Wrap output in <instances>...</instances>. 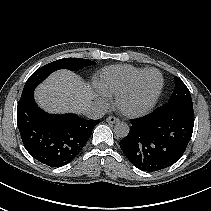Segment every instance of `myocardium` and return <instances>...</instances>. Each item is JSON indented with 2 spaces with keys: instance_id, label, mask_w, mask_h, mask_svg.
Wrapping results in <instances>:
<instances>
[{
  "instance_id": "myocardium-1",
  "label": "myocardium",
  "mask_w": 211,
  "mask_h": 211,
  "mask_svg": "<svg viewBox=\"0 0 211 211\" xmlns=\"http://www.w3.org/2000/svg\"><path fill=\"white\" fill-rule=\"evenodd\" d=\"M151 72H156L157 74H159V76L161 78V84H160V87H159L157 93L154 95V97L151 99V101L144 107H141V108L127 107L126 101L135 93V91L138 88L142 79L148 73H151ZM164 83H165V81H164L163 74L159 70L154 69V68L146 69L140 75H138L132 81V83L116 97V105H117L118 109L120 110L121 113H123L124 115H126L128 117H139V116H143V115L147 114L157 104V102L163 92Z\"/></svg>"
}]
</instances>
